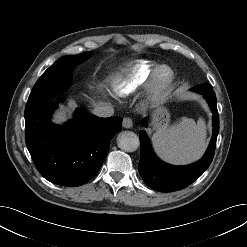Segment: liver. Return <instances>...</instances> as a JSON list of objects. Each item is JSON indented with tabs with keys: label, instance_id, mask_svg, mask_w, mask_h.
Wrapping results in <instances>:
<instances>
[{
	"label": "liver",
	"instance_id": "1",
	"mask_svg": "<svg viewBox=\"0 0 247 247\" xmlns=\"http://www.w3.org/2000/svg\"><path fill=\"white\" fill-rule=\"evenodd\" d=\"M93 105H94L95 107H98L99 104L93 103ZM64 120H65V119H64V116L58 115V116L56 117L55 122H56V123H61V122H63Z\"/></svg>",
	"mask_w": 247,
	"mask_h": 247
}]
</instances>
